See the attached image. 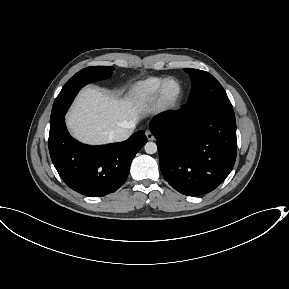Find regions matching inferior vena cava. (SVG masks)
Masks as SVG:
<instances>
[{
	"instance_id": "602c4592",
	"label": "inferior vena cava",
	"mask_w": 289,
	"mask_h": 289,
	"mask_svg": "<svg viewBox=\"0 0 289 289\" xmlns=\"http://www.w3.org/2000/svg\"><path fill=\"white\" fill-rule=\"evenodd\" d=\"M135 125L133 123H128L127 127L124 128H116L109 133V139L111 141L119 142L127 139L131 132L130 130L133 129Z\"/></svg>"
}]
</instances>
